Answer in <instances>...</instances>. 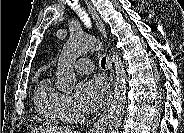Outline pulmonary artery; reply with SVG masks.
Listing matches in <instances>:
<instances>
[{
    "label": "pulmonary artery",
    "instance_id": "e3ab8cb5",
    "mask_svg": "<svg viewBox=\"0 0 184 133\" xmlns=\"http://www.w3.org/2000/svg\"><path fill=\"white\" fill-rule=\"evenodd\" d=\"M75 69L79 73L88 74L93 71V64L86 58L80 59L75 63Z\"/></svg>",
    "mask_w": 184,
    "mask_h": 133
}]
</instances>
